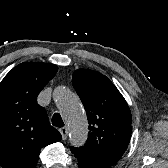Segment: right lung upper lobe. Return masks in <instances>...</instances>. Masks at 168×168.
Returning <instances> with one entry per match:
<instances>
[{"instance_id":"cb5924a9","label":"right lung upper lobe","mask_w":168,"mask_h":168,"mask_svg":"<svg viewBox=\"0 0 168 168\" xmlns=\"http://www.w3.org/2000/svg\"><path fill=\"white\" fill-rule=\"evenodd\" d=\"M54 64L24 62L14 67L0 83V166L35 168L40 149L58 142L37 96L57 73Z\"/></svg>"}]
</instances>
